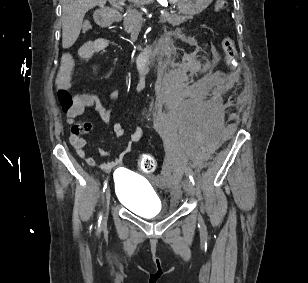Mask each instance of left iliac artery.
Segmentation results:
<instances>
[{
    "mask_svg": "<svg viewBox=\"0 0 308 283\" xmlns=\"http://www.w3.org/2000/svg\"><path fill=\"white\" fill-rule=\"evenodd\" d=\"M186 172H187V175L189 176L191 182H192L193 184H195V182H194V175H193V172L191 171V169H190V168H187V169H186Z\"/></svg>",
    "mask_w": 308,
    "mask_h": 283,
    "instance_id": "44dca946",
    "label": "left iliac artery"
}]
</instances>
